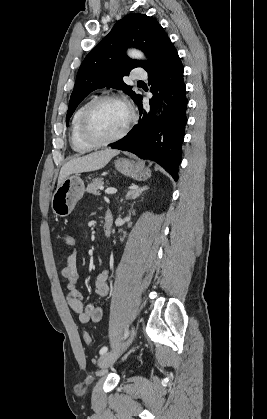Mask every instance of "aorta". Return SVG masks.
<instances>
[{
	"label": "aorta",
	"mask_w": 267,
	"mask_h": 419,
	"mask_svg": "<svg viewBox=\"0 0 267 419\" xmlns=\"http://www.w3.org/2000/svg\"><path fill=\"white\" fill-rule=\"evenodd\" d=\"M128 55L133 59H143V54L135 49L128 50Z\"/></svg>",
	"instance_id": "1"
}]
</instances>
